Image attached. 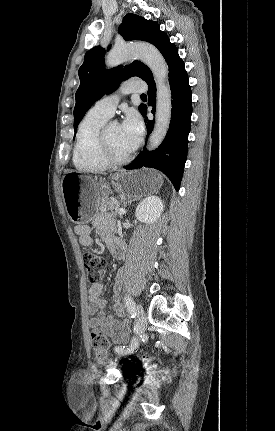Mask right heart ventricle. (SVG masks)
<instances>
[{
	"label": "right heart ventricle",
	"instance_id": "right-heart-ventricle-1",
	"mask_svg": "<svg viewBox=\"0 0 275 431\" xmlns=\"http://www.w3.org/2000/svg\"><path fill=\"white\" fill-rule=\"evenodd\" d=\"M108 119L109 116L94 108L82 118L73 150V162L78 170L97 173L109 166L99 153V135Z\"/></svg>",
	"mask_w": 275,
	"mask_h": 431
}]
</instances>
